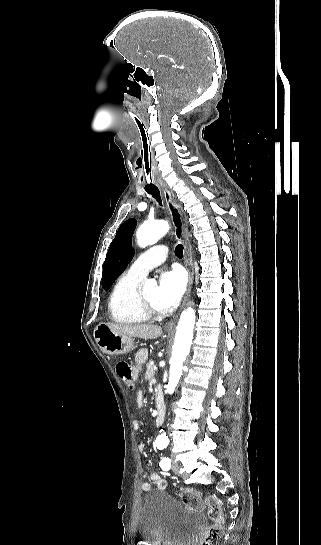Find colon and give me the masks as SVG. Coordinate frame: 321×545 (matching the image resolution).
I'll return each mask as SVG.
<instances>
[{
    "instance_id": "5ec220e1",
    "label": "colon",
    "mask_w": 321,
    "mask_h": 545,
    "mask_svg": "<svg viewBox=\"0 0 321 545\" xmlns=\"http://www.w3.org/2000/svg\"><path fill=\"white\" fill-rule=\"evenodd\" d=\"M116 373L123 381L128 389L133 388V370L129 363L120 361L115 366ZM180 495L183 503L190 510L199 511L203 504L198 493L189 488H181ZM206 508L208 517L213 521V525L209 528L202 545H216L222 533L223 510L219 500L214 496H209L206 500Z\"/></svg>"
}]
</instances>
